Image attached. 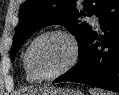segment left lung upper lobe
<instances>
[{
	"instance_id": "obj_1",
	"label": "left lung upper lobe",
	"mask_w": 119,
	"mask_h": 95,
	"mask_svg": "<svg viewBox=\"0 0 119 95\" xmlns=\"http://www.w3.org/2000/svg\"><path fill=\"white\" fill-rule=\"evenodd\" d=\"M107 0H84V10L76 8L77 0H26L19 11L20 22L16 28L11 60L24 41L46 25L63 24L78 40L83 41L91 27L79 18L96 14Z\"/></svg>"
}]
</instances>
